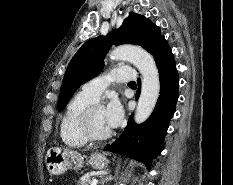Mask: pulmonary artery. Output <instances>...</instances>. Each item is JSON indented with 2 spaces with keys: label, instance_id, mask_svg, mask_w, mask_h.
<instances>
[{
  "label": "pulmonary artery",
  "instance_id": "obj_1",
  "mask_svg": "<svg viewBox=\"0 0 233 185\" xmlns=\"http://www.w3.org/2000/svg\"><path fill=\"white\" fill-rule=\"evenodd\" d=\"M135 79V73L132 68L118 67L107 72L104 75L98 76L89 82L85 83L80 93L93 101L100 98L102 92L114 82H127Z\"/></svg>",
  "mask_w": 233,
  "mask_h": 185
}]
</instances>
